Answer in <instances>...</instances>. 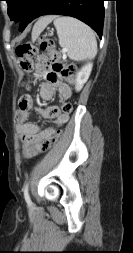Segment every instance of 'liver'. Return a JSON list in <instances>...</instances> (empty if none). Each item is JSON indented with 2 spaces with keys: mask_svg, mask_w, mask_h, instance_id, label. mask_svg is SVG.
<instances>
[{
  "mask_svg": "<svg viewBox=\"0 0 133 253\" xmlns=\"http://www.w3.org/2000/svg\"><path fill=\"white\" fill-rule=\"evenodd\" d=\"M55 18L54 15H48L40 18L34 25L32 30V37L37 38L39 34L46 28V26L52 22Z\"/></svg>",
  "mask_w": 133,
  "mask_h": 253,
  "instance_id": "liver-1",
  "label": "liver"
}]
</instances>
